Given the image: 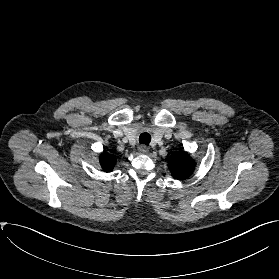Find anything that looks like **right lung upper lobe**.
I'll return each instance as SVG.
<instances>
[{
    "label": "right lung upper lobe",
    "mask_w": 279,
    "mask_h": 279,
    "mask_svg": "<svg viewBox=\"0 0 279 279\" xmlns=\"http://www.w3.org/2000/svg\"><path fill=\"white\" fill-rule=\"evenodd\" d=\"M115 162L116 159L106 152L100 155V164L105 172H111Z\"/></svg>",
    "instance_id": "right-lung-upper-lobe-1"
}]
</instances>
